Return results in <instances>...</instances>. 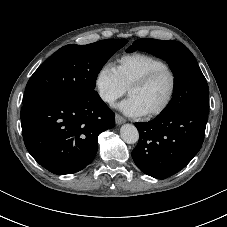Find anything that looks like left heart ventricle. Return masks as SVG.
<instances>
[{
  "mask_svg": "<svg viewBox=\"0 0 227 227\" xmlns=\"http://www.w3.org/2000/svg\"><path fill=\"white\" fill-rule=\"evenodd\" d=\"M171 89V77L162 73L155 77L148 85L131 90L129 96L134 98L144 113L159 108L167 99Z\"/></svg>",
  "mask_w": 227,
  "mask_h": 227,
  "instance_id": "b2bd125f",
  "label": "left heart ventricle"
}]
</instances>
